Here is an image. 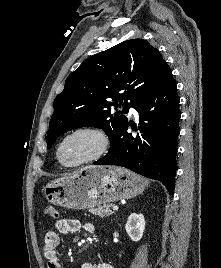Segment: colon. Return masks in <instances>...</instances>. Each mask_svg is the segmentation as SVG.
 Returning <instances> with one entry per match:
<instances>
[{
  "label": "colon",
  "mask_w": 221,
  "mask_h": 268,
  "mask_svg": "<svg viewBox=\"0 0 221 268\" xmlns=\"http://www.w3.org/2000/svg\"><path fill=\"white\" fill-rule=\"evenodd\" d=\"M44 213H45V215H46L47 217H50V218H53V219H56V218L58 217V212H57V210H56L54 207H52V206H48V207H46Z\"/></svg>",
  "instance_id": "1"
}]
</instances>
